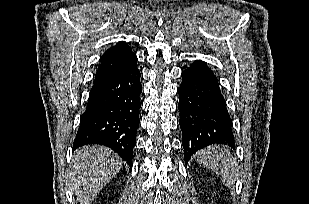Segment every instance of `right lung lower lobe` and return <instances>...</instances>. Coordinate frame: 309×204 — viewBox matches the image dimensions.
<instances>
[{"label":"right lung lower lobe","instance_id":"98d812e1","mask_svg":"<svg viewBox=\"0 0 309 204\" xmlns=\"http://www.w3.org/2000/svg\"><path fill=\"white\" fill-rule=\"evenodd\" d=\"M141 92L137 65L94 82L73 150L88 144L104 145L132 166Z\"/></svg>","mask_w":309,"mask_h":204}]
</instances>
